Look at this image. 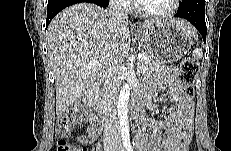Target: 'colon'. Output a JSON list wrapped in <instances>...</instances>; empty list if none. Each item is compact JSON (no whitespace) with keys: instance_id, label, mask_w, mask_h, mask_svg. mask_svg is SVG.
<instances>
[{"instance_id":"5ec220e1","label":"colon","mask_w":231,"mask_h":151,"mask_svg":"<svg viewBox=\"0 0 231 151\" xmlns=\"http://www.w3.org/2000/svg\"><path fill=\"white\" fill-rule=\"evenodd\" d=\"M197 72L198 64L193 58L187 57L180 62V94L188 98H192L194 96V81ZM77 117L78 113L75 109H68L59 113L56 124V133L58 135L57 151H86L85 148L68 139L72 125L77 120ZM181 150L187 151V145H184Z\"/></svg>"}]
</instances>
